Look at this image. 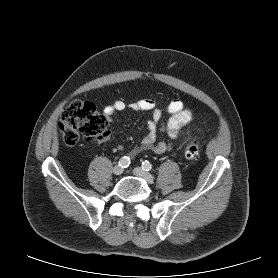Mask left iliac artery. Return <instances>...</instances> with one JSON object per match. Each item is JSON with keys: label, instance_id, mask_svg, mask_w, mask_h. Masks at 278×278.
I'll use <instances>...</instances> for the list:
<instances>
[{"label": "left iliac artery", "instance_id": "44dca946", "mask_svg": "<svg viewBox=\"0 0 278 278\" xmlns=\"http://www.w3.org/2000/svg\"><path fill=\"white\" fill-rule=\"evenodd\" d=\"M142 168L146 171H149L152 169V165L149 161L145 160L142 162Z\"/></svg>", "mask_w": 278, "mask_h": 278}]
</instances>
